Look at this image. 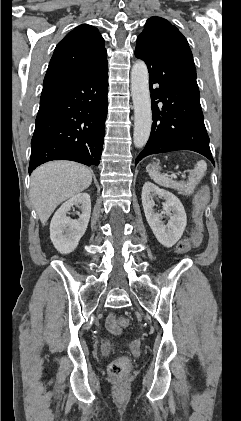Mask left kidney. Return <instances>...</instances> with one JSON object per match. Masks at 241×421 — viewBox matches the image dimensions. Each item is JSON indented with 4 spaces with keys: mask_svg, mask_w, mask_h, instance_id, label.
<instances>
[{
    "mask_svg": "<svg viewBox=\"0 0 241 421\" xmlns=\"http://www.w3.org/2000/svg\"><path fill=\"white\" fill-rule=\"evenodd\" d=\"M156 195L165 199L163 210L170 217L166 225L162 222L163 216L153 209V198ZM142 205L146 220L157 240L165 247H172L181 238L187 224L181 201L171 192L147 181L142 189Z\"/></svg>",
    "mask_w": 241,
    "mask_h": 421,
    "instance_id": "5707ae66",
    "label": "left kidney"
}]
</instances>
